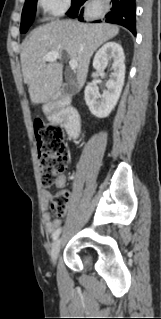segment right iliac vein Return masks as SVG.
Instances as JSON below:
<instances>
[{
	"mask_svg": "<svg viewBox=\"0 0 161 319\" xmlns=\"http://www.w3.org/2000/svg\"><path fill=\"white\" fill-rule=\"evenodd\" d=\"M61 246H62V241H61V238H59L54 242L52 249H51V259H52L53 263L56 262V260L59 256Z\"/></svg>",
	"mask_w": 161,
	"mask_h": 319,
	"instance_id": "right-iliac-vein-1",
	"label": "right iliac vein"
}]
</instances>
